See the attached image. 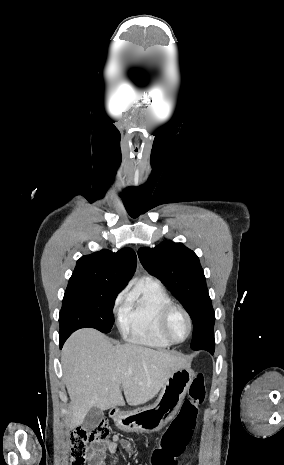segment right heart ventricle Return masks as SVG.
Listing matches in <instances>:
<instances>
[{
    "label": "right heart ventricle",
    "instance_id": "obj_1",
    "mask_svg": "<svg viewBox=\"0 0 284 465\" xmlns=\"http://www.w3.org/2000/svg\"><path fill=\"white\" fill-rule=\"evenodd\" d=\"M171 304L174 302L162 283L147 279L119 310L121 336L133 346H171L159 332L160 316Z\"/></svg>",
    "mask_w": 284,
    "mask_h": 465
}]
</instances>
